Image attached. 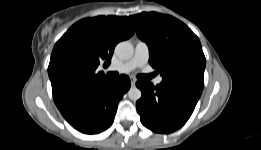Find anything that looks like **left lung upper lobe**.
I'll return each instance as SVG.
<instances>
[{
	"label": "left lung upper lobe",
	"mask_w": 261,
	"mask_h": 150,
	"mask_svg": "<svg viewBox=\"0 0 261 150\" xmlns=\"http://www.w3.org/2000/svg\"><path fill=\"white\" fill-rule=\"evenodd\" d=\"M149 47V63L163 80L186 78L204 84L206 59L198 37L181 21L156 12L130 16Z\"/></svg>",
	"instance_id": "left-lung-upper-lobe-1"
}]
</instances>
